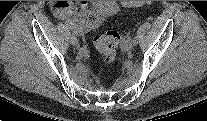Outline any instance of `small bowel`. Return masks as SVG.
I'll return each mask as SVG.
<instances>
[{
  "label": "small bowel",
  "mask_w": 207,
  "mask_h": 121,
  "mask_svg": "<svg viewBox=\"0 0 207 121\" xmlns=\"http://www.w3.org/2000/svg\"><path fill=\"white\" fill-rule=\"evenodd\" d=\"M51 8L57 18L73 24L79 34L94 29L100 23L99 17L87 1H55L51 3Z\"/></svg>",
  "instance_id": "obj_1"
}]
</instances>
